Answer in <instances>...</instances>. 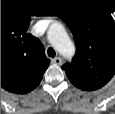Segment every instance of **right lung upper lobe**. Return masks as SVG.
Instances as JSON below:
<instances>
[{
    "instance_id": "1",
    "label": "right lung upper lobe",
    "mask_w": 115,
    "mask_h": 114,
    "mask_svg": "<svg viewBox=\"0 0 115 114\" xmlns=\"http://www.w3.org/2000/svg\"><path fill=\"white\" fill-rule=\"evenodd\" d=\"M29 18H1V87L24 94L36 88L50 64L40 40L27 33Z\"/></svg>"
}]
</instances>
